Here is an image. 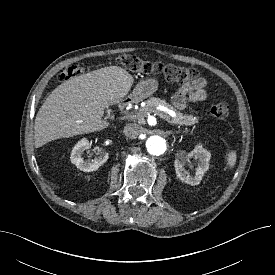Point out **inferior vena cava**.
Here are the masks:
<instances>
[{
	"mask_svg": "<svg viewBox=\"0 0 275 275\" xmlns=\"http://www.w3.org/2000/svg\"><path fill=\"white\" fill-rule=\"evenodd\" d=\"M124 134L129 138H137L141 133V127L137 124H127L124 127Z\"/></svg>",
	"mask_w": 275,
	"mask_h": 275,
	"instance_id": "1",
	"label": "inferior vena cava"
}]
</instances>
